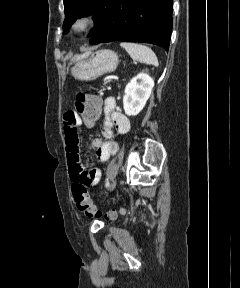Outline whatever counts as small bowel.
I'll use <instances>...</instances> for the list:
<instances>
[{
    "mask_svg": "<svg viewBox=\"0 0 240 288\" xmlns=\"http://www.w3.org/2000/svg\"><path fill=\"white\" fill-rule=\"evenodd\" d=\"M104 131L103 138H95L92 142L96 149V158L107 161L113 156L118 145L112 139L116 134H126L130 129V120L117 109L114 96H107L103 102ZM82 124L80 116L73 110H68L63 115V130L66 142L68 169L74 184L85 187L95 186L100 182L101 171L98 168L87 169L79 155L78 127Z\"/></svg>",
    "mask_w": 240,
    "mask_h": 288,
    "instance_id": "1",
    "label": "small bowel"
}]
</instances>
